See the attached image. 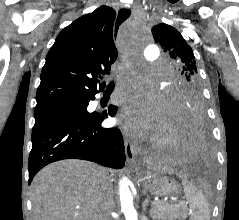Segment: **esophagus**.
<instances>
[{
	"label": "esophagus",
	"mask_w": 239,
	"mask_h": 220,
	"mask_svg": "<svg viewBox=\"0 0 239 220\" xmlns=\"http://www.w3.org/2000/svg\"><path fill=\"white\" fill-rule=\"evenodd\" d=\"M132 11V12H131ZM135 14V9H121L118 13V17L116 20V24L113 26V35H114V42L118 43L119 42V35H120V25L131 15ZM124 145H125V154L128 163L130 164H135L136 163V149L131 145L129 140L126 138L124 139Z\"/></svg>",
	"instance_id": "obj_1"
}]
</instances>
